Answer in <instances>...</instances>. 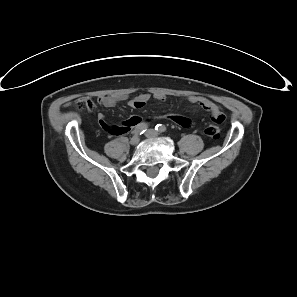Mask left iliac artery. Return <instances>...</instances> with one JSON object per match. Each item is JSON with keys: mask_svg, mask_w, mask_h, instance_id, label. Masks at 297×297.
Returning <instances> with one entry per match:
<instances>
[{"mask_svg": "<svg viewBox=\"0 0 297 297\" xmlns=\"http://www.w3.org/2000/svg\"><path fill=\"white\" fill-rule=\"evenodd\" d=\"M155 130H157L158 132H164L166 130V128L161 125V124H158L156 127H155Z\"/></svg>", "mask_w": 297, "mask_h": 297, "instance_id": "obj_1", "label": "left iliac artery"}]
</instances>
